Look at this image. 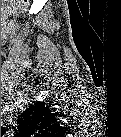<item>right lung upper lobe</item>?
<instances>
[{
    "instance_id": "cb5924a9",
    "label": "right lung upper lobe",
    "mask_w": 121,
    "mask_h": 137,
    "mask_svg": "<svg viewBox=\"0 0 121 137\" xmlns=\"http://www.w3.org/2000/svg\"><path fill=\"white\" fill-rule=\"evenodd\" d=\"M60 126L51 111L41 102L26 109L18 121V131L21 135H42L56 133Z\"/></svg>"
}]
</instances>
